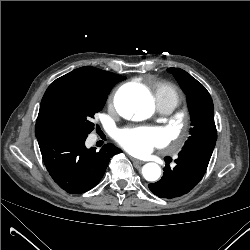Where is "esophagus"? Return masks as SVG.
Returning a JSON list of instances; mask_svg holds the SVG:
<instances>
[{"label":"esophagus","instance_id":"obj_1","mask_svg":"<svg viewBox=\"0 0 250 250\" xmlns=\"http://www.w3.org/2000/svg\"><path fill=\"white\" fill-rule=\"evenodd\" d=\"M131 160L135 165H142L144 163L142 160H139L133 157H131Z\"/></svg>","mask_w":250,"mask_h":250}]
</instances>
